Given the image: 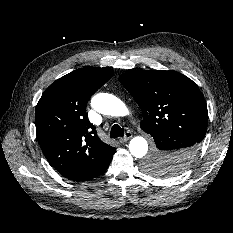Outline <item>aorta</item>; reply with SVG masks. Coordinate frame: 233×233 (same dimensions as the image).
Segmentation results:
<instances>
[{"label": "aorta", "instance_id": "762f6f07", "mask_svg": "<svg viewBox=\"0 0 233 233\" xmlns=\"http://www.w3.org/2000/svg\"><path fill=\"white\" fill-rule=\"evenodd\" d=\"M92 107L99 113L110 116H125L129 113L126 105L116 96L99 93L91 99ZM129 151L136 158L147 154L148 142L141 136L134 137L129 143Z\"/></svg>", "mask_w": 233, "mask_h": 233}]
</instances>
